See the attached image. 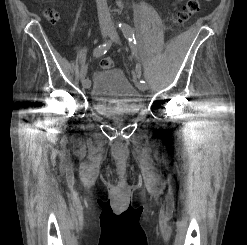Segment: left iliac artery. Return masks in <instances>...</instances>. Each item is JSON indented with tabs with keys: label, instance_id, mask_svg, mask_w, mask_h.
Listing matches in <instances>:
<instances>
[{
	"label": "left iliac artery",
	"instance_id": "left-iliac-artery-1",
	"mask_svg": "<svg viewBox=\"0 0 247 245\" xmlns=\"http://www.w3.org/2000/svg\"><path fill=\"white\" fill-rule=\"evenodd\" d=\"M119 27L121 28L125 38L128 39V41L130 43V46L132 48V54L137 58L138 57V51H137L136 45L138 44V40H136L137 38L135 37L133 29L131 28L130 25L125 24V23L120 24ZM139 84L143 85V86L147 85L143 79H140Z\"/></svg>",
	"mask_w": 247,
	"mask_h": 245
}]
</instances>
